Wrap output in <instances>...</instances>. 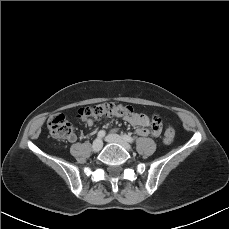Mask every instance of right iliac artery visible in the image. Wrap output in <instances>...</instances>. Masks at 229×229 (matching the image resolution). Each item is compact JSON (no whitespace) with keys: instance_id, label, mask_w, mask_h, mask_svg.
<instances>
[{"instance_id":"obj_1","label":"right iliac artery","mask_w":229,"mask_h":229,"mask_svg":"<svg viewBox=\"0 0 229 229\" xmlns=\"http://www.w3.org/2000/svg\"><path fill=\"white\" fill-rule=\"evenodd\" d=\"M105 134H106V132L104 130H100L97 134V137L101 139L105 136Z\"/></svg>"}]
</instances>
